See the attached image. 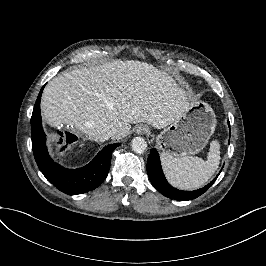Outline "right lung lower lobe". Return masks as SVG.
Masks as SVG:
<instances>
[{
	"label": "right lung lower lobe",
	"mask_w": 266,
	"mask_h": 266,
	"mask_svg": "<svg viewBox=\"0 0 266 266\" xmlns=\"http://www.w3.org/2000/svg\"><path fill=\"white\" fill-rule=\"evenodd\" d=\"M43 89L44 86L38 95L31 117L32 149L40 171L50 183L68 195L94 190L107 177L112 152L120 144L105 146L89 164L82 168L68 169L54 162L48 154L46 135L41 124L40 99Z\"/></svg>",
	"instance_id": "98d812e1"
}]
</instances>
